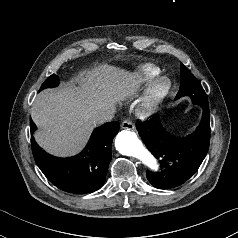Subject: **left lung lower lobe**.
Returning a JSON list of instances; mask_svg holds the SVG:
<instances>
[{
  "instance_id": "obj_1",
  "label": "left lung lower lobe",
  "mask_w": 238,
  "mask_h": 238,
  "mask_svg": "<svg viewBox=\"0 0 238 238\" xmlns=\"http://www.w3.org/2000/svg\"><path fill=\"white\" fill-rule=\"evenodd\" d=\"M193 104L202 107V119L196 130L186 137L168 133L157 116L136 124L144 144L160 164L158 172H147V179L156 188L182 185L198 170L208 152L211 131L209 105L205 102Z\"/></svg>"
}]
</instances>
